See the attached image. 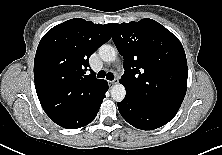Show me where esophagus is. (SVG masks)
<instances>
[{"instance_id": "1", "label": "esophagus", "mask_w": 222, "mask_h": 155, "mask_svg": "<svg viewBox=\"0 0 222 155\" xmlns=\"http://www.w3.org/2000/svg\"><path fill=\"white\" fill-rule=\"evenodd\" d=\"M117 82V79H114L112 81H109L110 84H115Z\"/></svg>"}]
</instances>
